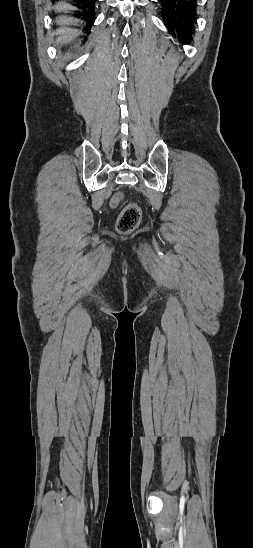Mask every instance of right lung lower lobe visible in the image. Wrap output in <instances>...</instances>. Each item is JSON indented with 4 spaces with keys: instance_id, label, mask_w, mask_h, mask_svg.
Masks as SVG:
<instances>
[{
    "instance_id": "obj_1",
    "label": "right lung lower lobe",
    "mask_w": 253,
    "mask_h": 548,
    "mask_svg": "<svg viewBox=\"0 0 253 548\" xmlns=\"http://www.w3.org/2000/svg\"><path fill=\"white\" fill-rule=\"evenodd\" d=\"M74 1H77V2L81 3L83 6L88 8L91 12H93L94 4H95L96 0H74ZM87 19H88L90 25H92L93 22H94V19H95L94 14L91 13Z\"/></svg>"
}]
</instances>
